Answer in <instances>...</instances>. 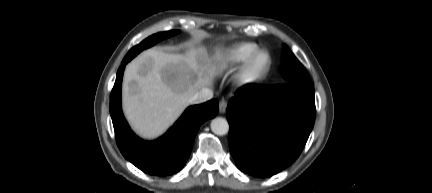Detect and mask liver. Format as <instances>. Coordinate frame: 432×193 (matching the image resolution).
Wrapping results in <instances>:
<instances>
[{
    "instance_id": "6515ba94",
    "label": "liver",
    "mask_w": 432,
    "mask_h": 193,
    "mask_svg": "<svg viewBox=\"0 0 432 193\" xmlns=\"http://www.w3.org/2000/svg\"><path fill=\"white\" fill-rule=\"evenodd\" d=\"M223 67V49L213 56L196 43L184 53L149 49L125 69L122 103L132 129L152 139L163 134L189 104V98L213 83ZM144 69V72H141Z\"/></svg>"
}]
</instances>
